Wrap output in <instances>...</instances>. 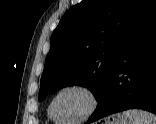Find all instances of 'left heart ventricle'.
<instances>
[{
	"label": "left heart ventricle",
	"instance_id": "1",
	"mask_svg": "<svg viewBox=\"0 0 156 124\" xmlns=\"http://www.w3.org/2000/svg\"><path fill=\"white\" fill-rule=\"evenodd\" d=\"M90 106L86 93L79 90H68L62 93L54 104V114L63 120H71L82 116Z\"/></svg>",
	"mask_w": 156,
	"mask_h": 124
}]
</instances>
